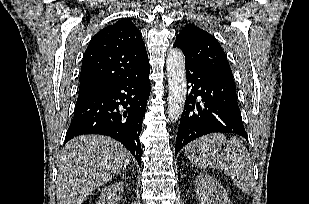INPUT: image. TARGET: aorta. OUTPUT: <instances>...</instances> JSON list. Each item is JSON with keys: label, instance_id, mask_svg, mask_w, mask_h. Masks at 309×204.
I'll return each instance as SVG.
<instances>
[{"label": "aorta", "instance_id": "1", "mask_svg": "<svg viewBox=\"0 0 309 204\" xmlns=\"http://www.w3.org/2000/svg\"><path fill=\"white\" fill-rule=\"evenodd\" d=\"M166 65L169 85L168 113L169 118L176 121L183 112L187 95L185 58L182 51L170 50Z\"/></svg>", "mask_w": 309, "mask_h": 204}]
</instances>
